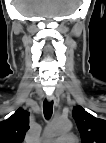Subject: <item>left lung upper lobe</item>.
Masks as SVG:
<instances>
[{"label": "left lung upper lobe", "mask_w": 106, "mask_h": 143, "mask_svg": "<svg viewBox=\"0 0 106 143\" xmlns=\"http://www.w3.org/2000/svg\"><path fill=\"white\" fill-rule=\"evenodd\" d=\"M72 115L82 143H106V120L94 117L81 106L74 107Z\"/></svg>", "instance_id": "5c2ea615"}]
</instances>
